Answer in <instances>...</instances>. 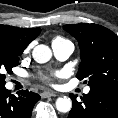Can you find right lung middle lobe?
Returning a JSON list of instances; mask_svg holds the SVG:
<instances>
[{
    "label": "right lung middle lobe",
    "mask_w": 118,
    "mask_h": 118,
    "mask_svg": "<svg viewBox=\"0 0 118 118\" xmlns=\"http://www.w3.org/2000/svg\"><path fill=\"white\" fill-rule=\"evenodd\" d=\"M23 49L14 44L0 40V86H5V72L12 73V68L19 63Z\"/></svg>",
    "instance_id": "dd1d6c3e"
}]
</instances>
